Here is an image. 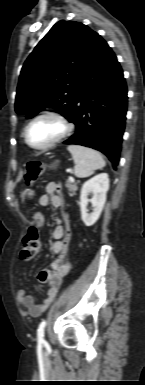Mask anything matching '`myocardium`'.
I'll list each match as a JSON object with an SVG mask.
<instances>
[{"label":"myocardium","instance_id":"1","mask_svg":"<svg viewBox=\"0 0 145 385\" xmlns=\"http://www.w3.org/2000/svg\"><path fill=\"white\" fill-rule=\"evenodd\" d=\"M42 118H53L57 120L62 124L63 131L56 139L49 142L48 144L43 146H34L28 140V131L34 122ZM73 129H74V126L72 122L64 114L57 111H52V110L42 111L39 114L35 115L33 118H31L29 122L26 124L24 128V141L27 144V146L30 147L31 149L46 150L65 140L68 136L71 135V133L73 132Z\"/></svg>","mask_w":145,"mask_h":385}]
</instances>
